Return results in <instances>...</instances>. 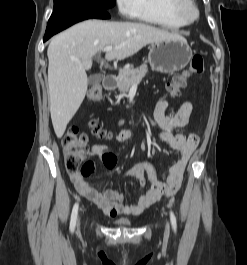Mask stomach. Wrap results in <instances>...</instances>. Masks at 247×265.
Returning a JSON list of instances; mask_svg holds the SVG:
<instances>
[{"mask_svg": "<svg viewBox=\"0 0 247 265\" xmlns=\"http://www.w3.org/2000/svg\"><path fill=\"white\" fill-rule=\"evenodd\" d=\"M191 58L192 50L183 37L154 43L148 55L151 68L160 73H174L182 70Z\"/></svg>", "mask_w": 247, "mask_h": 265, "instance_id": "0dacf381", "label": "stomach"}]
</instances>
